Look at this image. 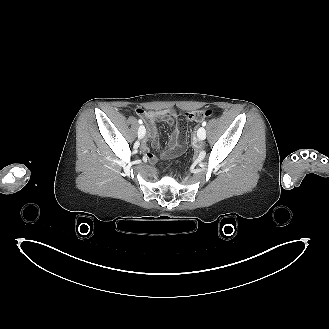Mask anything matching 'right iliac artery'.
Returning <instances> with one entry per match:
<instances>
[{
    "mask_svg": "<svg viewBox=\"0 0 329 329\" xmlns=\"http://www.w3.org/2000/svg\"><path fill=\"white\" fill-rule=\"evenodd\" d=\"M138 123H139V124H142V123H143V121H142L141 119H139V120H138Z\"/></svg>",
    "mask_w": 329,
    "mask_h": 329,
    "instance_id": "1",
    "label": "right iliac artery"
}]
</instances>
